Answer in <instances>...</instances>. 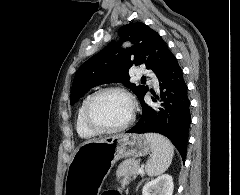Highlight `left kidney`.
Listing matches in <instances>:
<instances>
[{
  "mask_svg": "<svg viewBox=\"0 0 240 195\" xmlns=\"http://www.w3.org/2000/svg\"><path fill=\"white\" fill-rule=\"evenodd\" d=\"M174 189L173 177L169 173H163L156 179L145 183L142 195H172Z\"/></svg>",
  "mask_w": 240,
  "mask_h": 195,
  "instance_id": "5707ae66",
  "label": "left kidney"
}]
</instances>
